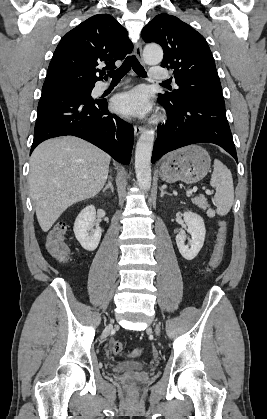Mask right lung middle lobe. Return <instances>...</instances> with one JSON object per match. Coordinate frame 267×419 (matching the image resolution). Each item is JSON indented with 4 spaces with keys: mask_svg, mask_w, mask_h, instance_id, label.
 Segmentation results:
<instances>
[{
    "mask_svg": "<svg viewBox=\"0 0 267 419\" xmlns=\"http://www.w3.org/2000/svg\"><path fill=\"white\" fill-rule=\"evenodd\" d=\"M64 89L75 91V92H83L88 95L89 98H91V91L93 87H83V86H77V85H66L62 87Z\"/></svg>",
    "mask_w": 267,
    "mask_h": 419,
    "instance_id": "dd1d6c3e",
    "label": "right lung middle lobe"
}]
</instances>
